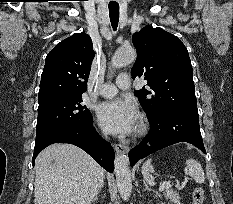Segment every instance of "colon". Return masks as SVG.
Instances as JSON below:
<instances>
[{
  "label": "colon",
  "instance_id": "colon-1",
  "mask_svg": "<svg viewBox=\"0 0 233 204\" xmlns=\"http://www.w3.org/2000/svg\"><path fill=\"white\" fill-rule=\"evenodd\" d=\"M193 204H203L205 199L204 190L201 187H195L192 193Z\"/></svg>",
  "mask_w": 233,
  "mask_h": 204
}]
</instances>
